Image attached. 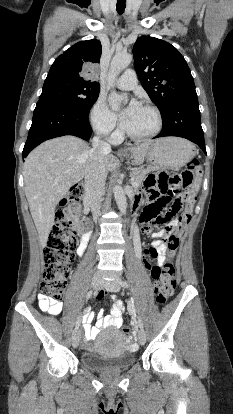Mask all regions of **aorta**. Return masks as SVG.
Here are the masks:
<instances>
[{
  "label": "aorta",
  "instance_id": "aorta-1",
  "mask_svg": "<svg viewBox=\"0 0 233 414\" xmlns=\"http://www.w3.org/2000/svg\"><path fill=\"white\" fill-rule=\"evenodd\" d=\"M133 57L128 53L115 54L112 58L108 75V86L114 88L115 81L118 75L131 63ZM114 198L117 206L122 214L126 213L127 201L123 188L120 185H115L113 188Z\"/></svg>",
  "mask_w": 233,
  "mask_h": 414
}]
</instances>
